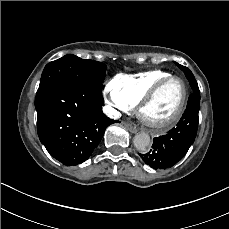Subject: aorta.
<instances>
[{
    "mask_svg": "<svg viewBox=\"0 0 229 229\" xmlns=\"http://www.w3.org/2000/svg\"><path fill=\"white\" fill-rule=\"evenodd\" d=\"M133 143L137 150L146 151L150 145V137L147 133H138L135 135Z\"/></svg>",
    "mask_w": 229,
    "mask_h": 229,
    "instance_id": "aorta-1",
    "label": "aorta"
}]
</instances>
